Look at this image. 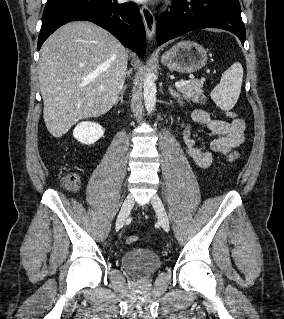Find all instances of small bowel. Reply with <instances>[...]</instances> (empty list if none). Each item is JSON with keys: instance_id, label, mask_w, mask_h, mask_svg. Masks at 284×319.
I'll return each instance as SVG.
<instances>
[{"instance_id": "1", "label": "small bowel", "mask_w": 284, "mask_h": 319, "mask_svg": "<svg viewBox=\"0 0 284 319\" xmlns=\"http://www.w3.org/2000/svg\"><path fill=\"white\" fill-rule=\"evenodd\" d=\"M190 117L194 123L205 127L209 135L213 137L210 149H203L193 137L192 125L189 123L180 125L185 153L192 164L198 168H208L214 154L226 155L244 142L245 122L241 118L213 119L202 109L193 110Z\"/></svg>"}]
</instances>
